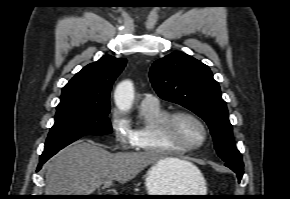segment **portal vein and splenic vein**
<instances>
[{"instance_id":"18ae733b","label":"portal vein and splenic vein","mask_w":290,"mask_h":199,"mask_svg":"<svg viewBox=\"0 0 290 199\" xmlns=\"http://www.w3.org/2000/svg\"><path fill=\"white\" fill-rule=\"evenodd\" d=\"M111 185V181L107 180L103 183V188H108Z\"/></svg>"}]
</instances>
